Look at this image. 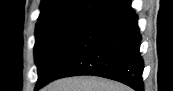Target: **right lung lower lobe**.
Here are the masks:
<instances>
[{
  "instance_id": "98d812e1",
  "label": "right lung lower lobe",
  "mask_w": 173,
  "mask_h": 91,
  "mask_svg": "<svg viewBox=\"0 0 173 91\" xmlns=\"http://www.w3.org/2000/svg\"><path fill=\"white\" fill-rule=\"evenodd\" d=\"M138 17L130 0H119L87 20L56 61L48 82L66 76L95 75L143 90Z\"/></svg>"
}]
</instances>
